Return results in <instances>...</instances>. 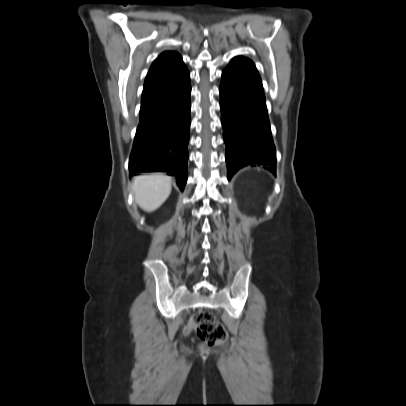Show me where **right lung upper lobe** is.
Masks as SVG:
<instances>
[{
    "mask_svg": "<svg viewBox=\"0 0 406 406\" xmlns=\"http://www.w3.org/2000/svg\"><path fill=\"white\" fill-rule=\"evenodd\" d=\"M183 65L184 63L178 53L173 51L163 52L150 67L144 89L168 79Z\"/></svg>",
    "mask_w": 406,
    "mask_h": 406,
    "instance_id": "cb5924a9",
    "label": "right lung upper lobe"
}]
</instances>
